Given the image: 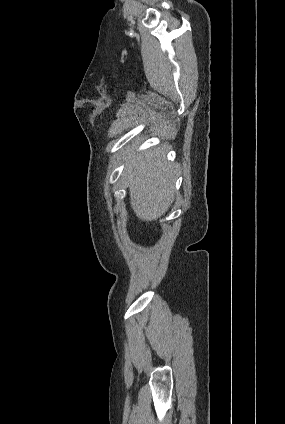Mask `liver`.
Instances as JSON below:
<instances>
[{"instance_id":"liver-1","label":"liver","mask_w":285,"mask_h":424,"mask_svg":"<svg viewBox=\"0 0 285 424\" xmlns=\"http://www.w3.org/2000/svg\"><path fill=\"white\" fill-rule=\"evenodd\" d=\"M137 149L126 148L125 160ZM168 145L152 148L129 159L123 176L129 189L131 207L142 221L157 220L174 201L176 170L167 162Z\"/></svg>"}]
</instances>
